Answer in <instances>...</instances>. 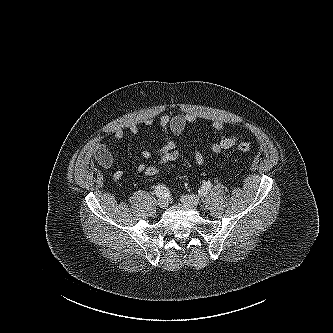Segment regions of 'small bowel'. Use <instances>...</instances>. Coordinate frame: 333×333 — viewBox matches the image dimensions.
Wrapping results in <instances>:
<instances>
[{
  "instance_id": "c3829d8e",
  "label": "small bowel",
  "mask_w": 333,
  "mask_h": 333,
  "mask_svg": "<svg viewBox=\"0 0 333 333\" xmlns=\"http://www.w3.org/2000/svg\"><path fill=\"white\" fill-rule=\"evenodd\" d=\"M196 122V116L190 113L186 114H176V115H169L163 114L159 118L158 126L162 130L165 135V143L159 149L158 154L162 155L166 152L172 151L176 149V141L174 138L181 137L185 129L188 125L193 124ZM148 125H153V121L148 120ZM212 128L215 133L219 136L217 142L213 143L210 147L213 154L218 155L222 151L232 148L237 140L238 135L236 133L227 135L224 130V123L222 120H214L212 122ZM130 132L134 135L138 134V127L136 125H132L130 127ZM125 132L123 128H118L115 130L113 134V139L115 141H120L123 139ZM93 156L95 160L104 168H110L113 165V156L110 152L109 148L102 143H97L93 150ZM141 156L148 160L152 157V152L149 149H145L142 151ZM194 161L197 166H202L205 163V155L199 149H194ZM146 165L140 163L137 166V171L140 173H144ZM124 175V172L121 169L115 170L113 176L115 179H121Z\"/></svg>"
}]
</instances>
